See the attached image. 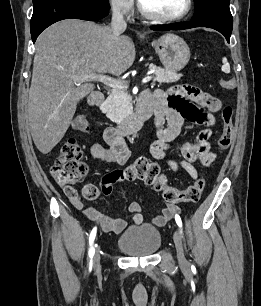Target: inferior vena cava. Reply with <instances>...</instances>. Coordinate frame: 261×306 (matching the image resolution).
Wrapping results in <instances>:
<instances>
[{"label": "inferior vena cava", "mask_w": 261, "mask_h": 306, "mask_svg": "<svg viewBox=\"0 0 261 306\" xmlns=\"http://www.w3.org/2000/svg\"><path fill=\"white\" fill-rule=\"evenodd\" d=\"M127 23L119 7H114L111 20V28L115 36H119L126 30Z\"/></svg>", "instance_id": "inferior-vena-cava-1"}]
</instances>
